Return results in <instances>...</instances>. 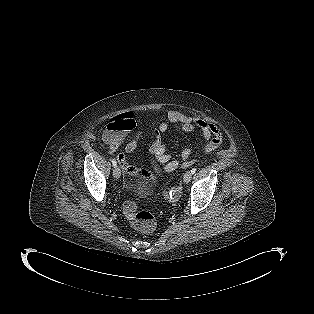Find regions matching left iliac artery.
Wrapping results in <instances>:
<instances>
[{
    "mask_svg": "<svg viewBox=\"0 0 314 314\" xmlns=\"http://www.w3.org/2000/svg\"><path fill=\"white\" fill-rule=\"evenodd\" d=\"M196 170H197L196 168H193V169L191 170V173H192V174L196 173Z\"/></svg>",
    "mask_w": 314,
    "mask_h": 314,
    "instance_id": "left-iliac-artery-1",
    "label": "left iliac artery"
}]
</instances>
